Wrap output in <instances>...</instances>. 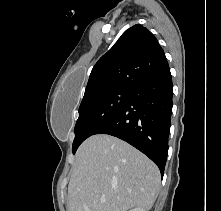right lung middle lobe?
Masks as SVG:
<instances>
[{"mask_svg": "<svg viewBox=\"0 0 221 211\" xmlns=\"http://www.w3.org/2000/svg\"><path fill=\"white\" fill-rule=\"evenodd\" d=\"M130 95L131 88H118L82 100L79 107V118L74 130L73 154L85 139L96 134L103 125L119 112Z\"/></svg>", "mask_w": 221, "mask_h": 211, "instance_id": "right-lung-middle-lobe-1", "label": "right lung middle lobe"}]
</instances>
